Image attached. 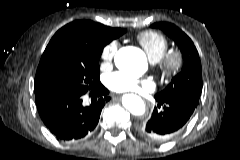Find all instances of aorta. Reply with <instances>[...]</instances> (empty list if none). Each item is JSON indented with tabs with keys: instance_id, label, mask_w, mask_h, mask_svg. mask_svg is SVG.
Listing matches in <instances>:
<instances>
[{
	"instance_id": "aorta-1",
	"label": "aorta",
	"mask_w": 240,
	"mask_h": 160,
	"mask_svg": "<svg viewBox=\"0 0 240 160\" xmlns=\"http://www.w3.org/2000/svg\"><path fill=\"white\" fill-rule=\"evenodd\" d=\"M114 60L119 69H125L132 72L142 71L146 66L144 53L135 47L119 49ZM122 104L134 115H143L145 113L143 100L135 94L124 95L122 97Z\"/></svg>"
}]
</instances>
